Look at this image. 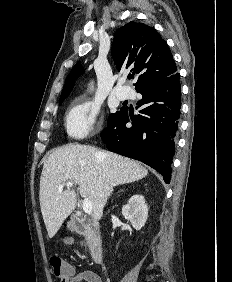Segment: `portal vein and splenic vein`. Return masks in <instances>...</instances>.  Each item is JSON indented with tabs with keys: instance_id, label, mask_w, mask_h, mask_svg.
Masks as SVG:
<instances>
[{
	"instance_id": "portal-vein-and-splenic-vein-1",
	"label": "portal vein and splenic vein",
	"mask_w": 232,
	"mask_h": 282,
	"mask_svg": "<svg viewBox=\"0 0 232 282\" xmlns=\"http://www.w3.org/2000/svg\"><path fill=\"white\" fill-rule=\"evenodd\" d=\"M67 187V188H71L73 187V183L71 182H64L62 184L59 185V191L62 192L63 188L64 187ZM83 211L86 213V214H91L92 212V204H91V201L88 199V198H85L84 201H83Z\"/></svg>"
}]
</instances>
